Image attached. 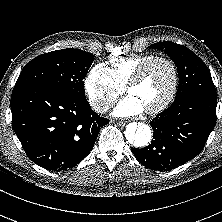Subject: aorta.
Returning a JSON list of instances; mask_svg holds the SVG:
<instances>
[{
	"label": "aorta",
	"mask_w": 222,
	"mask_h": 222,
	"mask_svg": "<svg viewBox=\"0 0 222 222\" xmlns=\"http://www.w3.org/2000/svg\"><path fill=\"white\" fill-rule=\"evenodd\" d=\"M124 135L126 142L135 148L147 146L152 139L151 128L142 122H133L127 125Z\"/></svg>",
	"instance_id": "obj_1"
}]
</instances>
